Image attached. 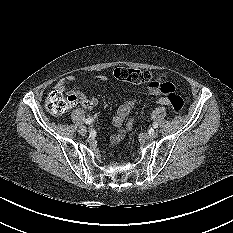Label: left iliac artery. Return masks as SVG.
I'll return each mask as SVG.
<instances>
[{"label": "left iliac artery", "instance_id": "1", "mask_svg": "<svg viewBox=\"0 0 233 233\" xmlns=\"http://www.w3.org/2000/svg\"><path fill=\"white\" fill-rule=\"evenodd\" d=\"M153 127H154V128H157V127H158V123H157V122H154V123H153Z\"/></svg>", "mask_w": 233, "mask_h": 233}]
</instances>
